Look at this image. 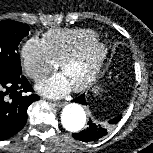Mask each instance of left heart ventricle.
Returning a JSON list of instances; mask_svg holds the SVG:
<instances>
[{"label": "left heart ventricle", "mask_w": 153, "mask_h": 153, "mask_svg": "<svg viewBox=\"0 0 153 153\" xmlns=\"http://www.w3.org/2000/svg\"><path fill=\"white\" fill-rule=\"evenodd\" d=\"M90 67L89 61H83L69 66L63 73L71 83L72 87L79 84L86 77Z\"/></svg>", "instance_id": "1"}]
</instances>
